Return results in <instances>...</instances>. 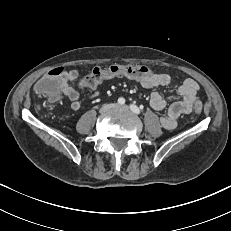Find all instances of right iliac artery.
Here are the masks:
<instances>
[{
	"label": "right iliac artery",
	"mask_w": 231,
	"mask_h": 231,
	"mask_svg": "<svg viewBox=\"0 0 231 231\" xmlns=\"http://www.w3.org/2000/svg\"><path fill=\"white\" fill-rule=\"evenodd\" d=\"M118 103L121 104V105H123V104L125 103V99L122 98V97L119 98V99H118Z\"/></svg>",
	"instance_id": "obj_1"
}]
</instances>
